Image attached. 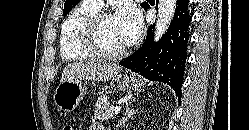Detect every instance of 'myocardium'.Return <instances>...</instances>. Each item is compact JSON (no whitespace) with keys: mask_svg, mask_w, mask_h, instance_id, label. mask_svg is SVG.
<instances>
[{"mask_svg":"<svg viewBox=\"0 0 249 130\" xmlns=\"http://www.w3.org/2000/svg\"><path fill=\"white\" fill-rule=\"evenodd\" d=\"M113 16L110 11L99 10L90 16L85 22L82 32L81 40L85 49L92 54V56L104 59V60H117L123 58L128 53V46L115 52L106 50L100 43L99 30L102 22Z\"/></svg>","mask_w":249,"mask_h":130,"instance_id":"myocardium-1","label":"myocardium"}]
</instances>
